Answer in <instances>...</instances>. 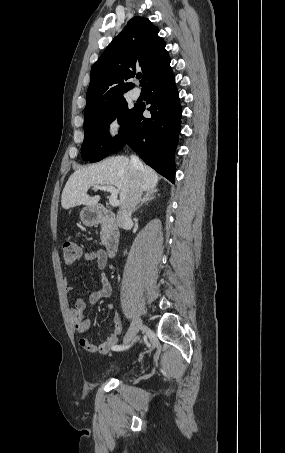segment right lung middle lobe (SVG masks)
Segmentation results:
<instances>
[{
    "label": "right lung middle lobe",
    "instance_id": "dd1d6c3e",
    "mask_svg": "<svg viewBox=\"0 0 285 453\" xmlns=\"http://www.w3.org/2000/svg\"><path fill=\"white\" fill-rule=\"evenodd\" d=\"M135 110L136 106L129 109L125 98L122 97L84 114L85 137L81 146L83 160L97 162L112 153L124 138ZM116 118L122 128L120 135L112 138L108 128Z\"/></svg>",
    "mask_w": 285,
    "mask_h": 453
}]
</instances>
